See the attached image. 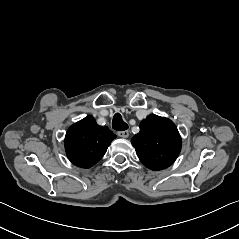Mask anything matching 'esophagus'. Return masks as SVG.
Segmentation results:
<instances>
[{"instance_id": "obj_1", "label": "esophagus", "mask_w": 239, "mask_h": 239, "mask_svg": "<svg viewBox=\"0 0 239 239\" xmlns=\"http://www.w3.org/2000/svg\"><path fill=\"white\" fill-rule=\"evenodd\" d=\"M117 135L122 138H127L129 136V131L128 130L119 131L117 132Z\"/></svg>"}]
</instances>
